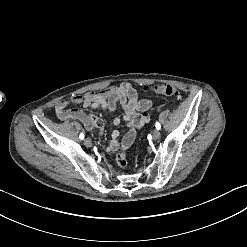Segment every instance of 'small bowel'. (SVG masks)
Listing matches in <instances>:
<instances>
[{
  "label": "small bowel",
  "instance_id": "obj_1",
  "mask_svg": "<svg viewBox=\"0 0 247 247\" xmlns=\"http://www.w3.org/2000/svg\"><path fill=\"white\" fill-rule=\"evenodd\" d=\"M71 104H82L86 108L98 107L109 113L115 112L118 106L121 107L123 116L115 118L113 124L118 126L124 121L129 129L122 139H120V132L115 129L111 134L107 150L118 151L115 161L120 166H126L129 162L124 159V150L133 144L137 131L149 123L150 116L147 112L153 107V102L140 99L133 85L123 82L103 90L75 95L56 103L55 112L60 120H78L87 129L98 127L102 134L103 124L100 120L80 109H68L67 107Z\"/></svg>",
  "mask_w": 247,
  "mask_h": 247
}]
</instances>
